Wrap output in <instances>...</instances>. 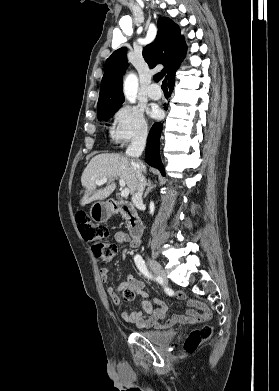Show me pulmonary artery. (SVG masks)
I'll use <instances>...</instances> for the list:
<instances>
[{"mask_svg": "<svg viewBox=\"0 0 279 391\" xmlns=\"http://www.w3.org/2000/svg\"><path fill=\"white\" fill-rule=\"evenodd\" d=\"M147 95L153 100H158L162 97V92L160 89H158V85L153 83L149 86L147 90Z\"/></svg>", "mask_w": 279, "mask_h": 391, "instance_id": "e3ab8cb5", "label": "pulmonary artery"}]
</instances>
